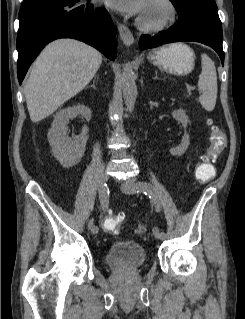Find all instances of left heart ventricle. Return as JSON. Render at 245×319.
<instances>
[{
	"mask_svg": "<svg viewBox=\"0 0 245 319\" xmlns=\"http://www.w3.org/2000/svg\"><path fill=\"white\" fill-rule=\"evenodd\" d=\"M141 16L150 22H157L165 18L166 10L165 8L157 2L148 3L145 6Z\"/></svg>",
	"mask_w": 245,
	"mask_h": 319,
	"instance_id": "b2bd125f",
	"label": "left heart ventricle"
}]
</instances>
